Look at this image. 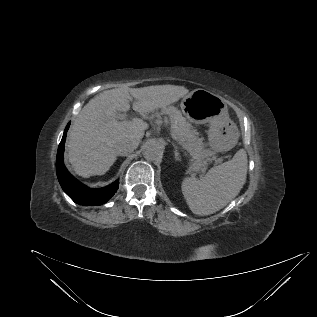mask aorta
Segmentation results:
<instances>
[{
	"label": "aorta",
	"instance_id": "obj_1",
	"mask_svg": "<svg viewBox=\"0 0 317 317\" xmlns=\"http://www.w3.org/2000/svg\"><path fill=\"white\" fill-rule=\"evenodd\" d=\"M143 156L149 161H155L162 156V149L155 141H148L143 148Z\"/></svg>",
	"mask_w": 317,
	"mask_h": 317
}]
</instances>
